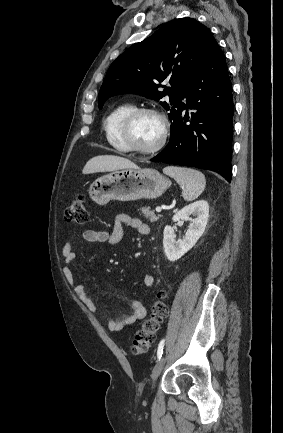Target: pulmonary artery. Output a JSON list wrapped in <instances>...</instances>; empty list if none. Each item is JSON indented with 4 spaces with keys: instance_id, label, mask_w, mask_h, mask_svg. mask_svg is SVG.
<instances>
[{
    "instance_id": "1",
    "label": "pulmonary artery",
    "mask_w": 283,
    "mask_h": 433,
    "mask_svg": "<svg viewBox=\"0 0 283 433\" xmlns=\"http://www.w3.org/2000/svg\"><path fill=\"white\" fill-rule=\"evenodd\" d=\"M181 102L184 103V104H187V99L183 98V99H181Z\"/></svg>"
}]
</instances>
